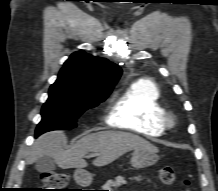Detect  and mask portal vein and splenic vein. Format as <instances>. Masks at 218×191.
I'll list each match as a JSON object with an SVG mask.
<instances>
[{"label": "portal vein and splenic vein", "instance_id": "portal-vein-and-splenic-vein-1", "mask_svg": "<svg viewBox=\"0 0 218 191\" xmlns=\"http://www.w3.org/2000/svg\"><path fill=\"white\" fill-rule=\"evenodd\" d=\"M93 156H96V154H91V155H89V157H93Z\"/></svg>", "mask_w": 218, "mask_h": 191}]
</instances>
